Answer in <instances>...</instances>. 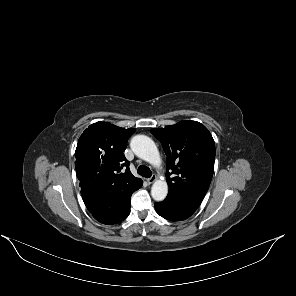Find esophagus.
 Instances as JSON below:
<instances>
[{"instance_id":"obj_1","label":"esophagus","mask_w":296,"mask_h":296,"mask_svg":"<svg viewBox=\"0 0 296 296\" xmlns=\"http://www.w3.org/2000/svg\"><path fill=\"white\" fill-rule=\"evenodd\" d=\"M156 175H152L150 178L147 179L148 184H152L156 181Z\"/></svg>"}]
</instances>
